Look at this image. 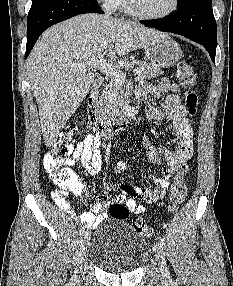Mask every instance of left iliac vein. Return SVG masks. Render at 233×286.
<instances>
[{
  "label": "left iliac vein",
  "mask_w": 233,
  "mask_h": 286,
  "mask_svg": "<svg viewBox=\"0 0 233 286\" xmlns=\"http://www.w3.org/2000/svg\"><path fill=\"white\" fill-rule=\"evenodd\" d=\"M153 251H154L156 260L158 262L161 275L164 279H167L169 277V270L166 264L163 248L161 247L159 242H156L154 244Z\"/></svg>",
  "instance_id": "1"
}]
</instances>
